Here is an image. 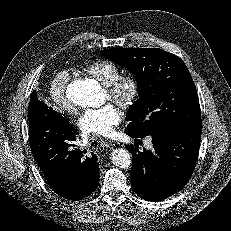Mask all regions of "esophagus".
Returning <instances> with one entry per match:
<instances>
[{
    "label": "esophagus",
    "instance_id": "obj_1",
    "mask_svg": "<svg viewBox=\"0 0 231 231\" xmlns=\"http://www.w3.org/2000/svg\"><path fill=\"white\" fill-rule=\"evenodd\" d=\"M101 145H103V146H110V145H113V141H111L109 139H102L101 140Z\"/></svg>",
    "mask_w": 231,
    "mask_h": 231
}]
</instances>
